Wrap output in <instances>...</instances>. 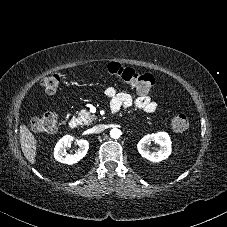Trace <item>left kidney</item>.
<instances>
[{
	"label": "left kidney",
	"instance_id": "5707ae66",
	"mask_svg": "<svg viewBox=\"0 0 227 227\" xmlns=\"http://www.w3.org/2000/svg\"><path fill=\"white\" fill-rule=\"evenodd\" d=\"M151 142L159 144L160 148L156 152H151L149 145ZM137 149L142 157L151 162H160L165 160L171 154V140L166 132H158L144 136L137 144Z\"/></svg>",
	"mask_w": 227,
	"mask_h": 227
}]
</instances>
